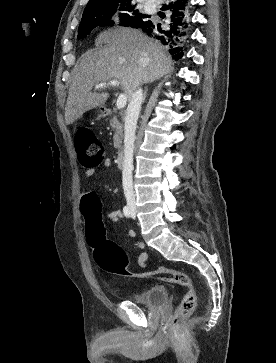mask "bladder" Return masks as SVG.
<instances>
[{
    "label": "bladder",
    "mask_w": 276,
    "mask_h": 363,
    "mask_svg": "<svg viewBox=\"0 0 276 363\" xmlns=\"http://www.w3.org/2000/svg\"><path fill=\"white\" fill-rule=\"evenodd\" d=\"M167 299V289L163 285H153L146 290L137 292L131 301L146 307H156L163 304Z\"/></svg>",
    "instance_id": "31cf9c89"
}]
</instances>
